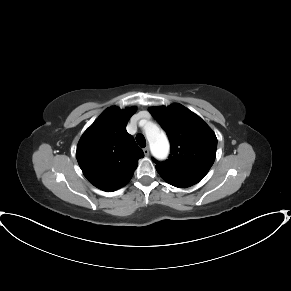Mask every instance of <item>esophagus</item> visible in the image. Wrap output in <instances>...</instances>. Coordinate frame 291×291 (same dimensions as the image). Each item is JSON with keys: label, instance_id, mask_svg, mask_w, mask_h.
<instances>
[{"label": "esophagus", "instance_id": "esophagus-1", "mask_svg": "<svg viewBox=\"0 0 291 291\" xmlns=\"http://www.w3.org/2000/svg\"><path fill=\"white\" fill-rule=\"evenodd\" d=\"M143 152H144L145 156H149L150 151H149V148L148 147H145L143 149Z\"/></svg>", "mask_w": 291, "mask_h": 291}]
</instances>
